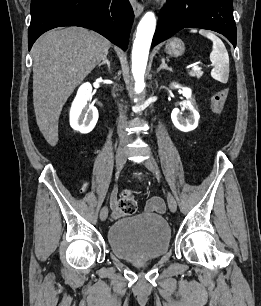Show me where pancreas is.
<instances>
[{
  "label": "pancreas",
  "mask_w": 261,
  "mask_h": 306,
  "mask_svg": "<svg viewBox=\"0 0 261 306\" xmlns=\"http://www.w3.org/2000/svg\"><path fill=\"white\" fill-rule=\"evenodd\" d=\"M189 75L192 76V77L200 78L203 75V72H201V71H191V72H189Z\"/></svg>",
  "instance_id": "1"
}]
</instances>
